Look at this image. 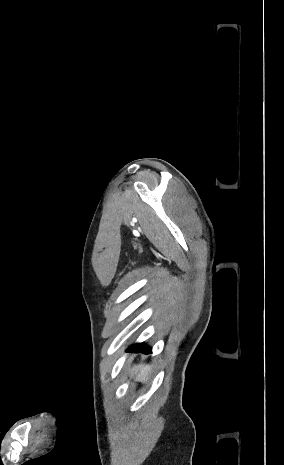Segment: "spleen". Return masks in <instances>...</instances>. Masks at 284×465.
<instances>
[{"label":"spleen","mask_w":284,"mask_h":465,"mask_svg":"<svg viewBox=\"0 0 284 465\" xmlns=\"http://www.w3.org/2000/svg\"><path fill=\"white\" fill-rule=\"evenodd\" d=\"M151 371V365H134V367L130 369V375L134 377L135 381L146 383L151 375Z\"/></svg>","instance_id":"3e777b00"}]
</instances>
